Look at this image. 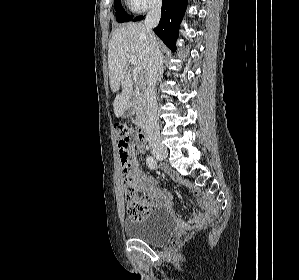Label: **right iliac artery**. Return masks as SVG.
Listing matches in <instances>:
<instances>
[{
	"instance_id": "right-iliac-artery-1",
	"label": "right iliac artery",
	"mask_w": 299,
	"mask_h": 280,
	"mask_svg": "<svg viewBox=\"0 0 299 280\" xmlns=\"http://www.w3.org/2000/svg\"><path fill=\"white\" fill-rule=\"evenodd\" d=\"M146 163H147V166L150 168V169H156L157 168V162L156 160L151 157V156H148L147 159H146Z\"/></svg>"
}]
</instances>
